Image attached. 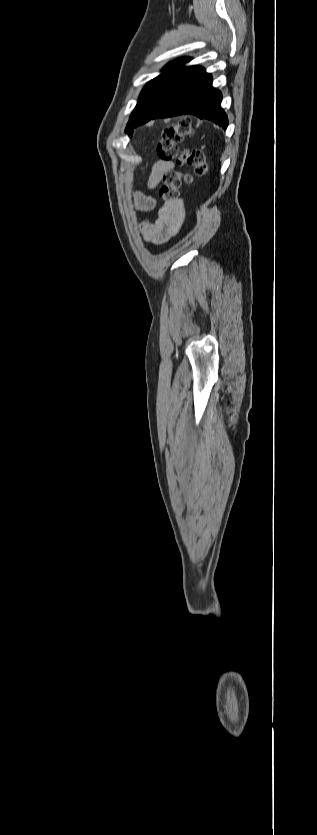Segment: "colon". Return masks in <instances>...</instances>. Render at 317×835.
Instances as JSON below:
<instances>
[{"label":"colon","instance_id":"5ec220e1","mask_svg":"<svg viewBox=\"0 0 317 835\" xmlns=\"http://www.w3.org/2000/svg\"><path fill=\"white\" fill-rule=\"evenodd\" d=\"M192 134L191 121L183 118L163 130L157 145L156 152L160 160L175 161L178 165H187L192 170L188 173L171 170L164 174L159 194L165 207L178 203L180 188L184 183H191L194 178L203 177L208 173V164L202 150L194 148L181 151L179 148V144Z\"/></svg>","mask_w":317,"mask_h":835}]
</instances>
